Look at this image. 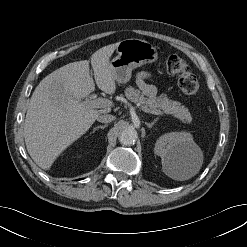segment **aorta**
<instances>
[{"label": "aorta", "instance_id": "obj_1", "mask_svg": "<svg viewBox=\"0 0 247 247\" xmlns=\"http://www.w3.org/2000/svg\"><path fill=\"white\" fill-rule=\"evenodd\" d=\"M137 139V132L134 128H125L119 134V142L123 145H132Z\"/></svg>", "mask_w": 247, "mask_h": 247}]
</instances>
